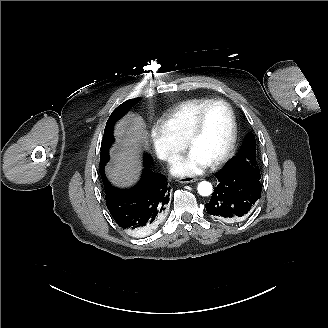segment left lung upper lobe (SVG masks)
Segmentation results:
<instances>
[{"label":"left lung upper lobe","instance_id":"left-lung-upper-lobe-1","mask_svg":"<svg viewBox=\"0 0 328 328\" xmlns=\"http://www.w3.org/2000/svg\"><path fill=\"white\" fill-rule=\"evenodd\" d=\"M224 169L252 172L258 179L261 178L260 169L256 161V141L252 132L247 135L237 156Z\"/></svg>","mask_w":328,"mask_h":328}]
</instances>
